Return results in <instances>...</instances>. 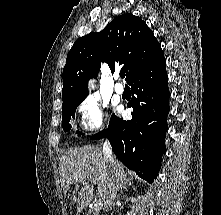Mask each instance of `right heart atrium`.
<instances>
[{
    "label": "right heart atrium",
    "instance_id": "1",
    "mask_svg": "<svg viewBox=\"0 0 221 215\" xmlns=\"http://www.w3.org/2000/svg\"><path fill=\"white\" fill-rule=\"evenodd\" d=\"M77 111L87 132L97 133L105 126L108 106L100 98L96 96L85 98L78 105Z\"/></svg>",
    "mask_w": 221,
    "mask_h": 215
}]
</instances>
